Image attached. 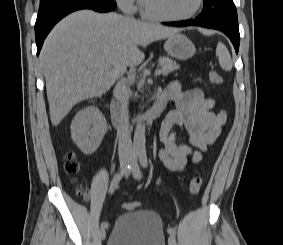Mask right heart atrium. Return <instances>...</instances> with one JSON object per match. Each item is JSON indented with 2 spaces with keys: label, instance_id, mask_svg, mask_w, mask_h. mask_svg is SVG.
Here are the masks:
<instances>
[{
  "label": "right heart atrium",
  "instance_id": "d8ad5b80",
  "mask_svg": "<svg viewBox=\"0 0 283 245\" xmlns=\"http://www.w3.org/2000/svg\"><path fill=\"white\" fill-rule=\"evenodd\" d=\"M119 8L128 14L135 12L136 10V1L135 0H115Z\"/></svg>",
  "mask_w": 283,
  "mask_h": 245
}]
</instances>
